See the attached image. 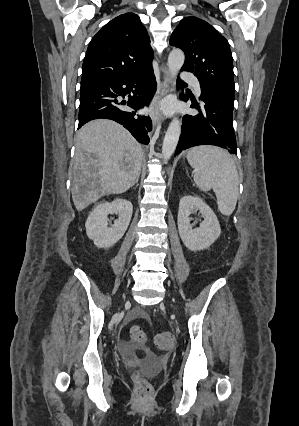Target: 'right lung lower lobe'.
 Wrapping results in <instances>:
<instances>
[{
  "instance_id": "right-lung-lower-lobe-1",
  "label": "right lung lower lobe",
  "mask_w": 299,
  "mask_h": 426,
  "mask_svg": "<svg viewBox=\"0 0 299 426\" xmlns=\"http://www.w3.org/2000/svg\"><path fill=\"white\" fill-rule=\"evenodd\" d=\"M155 87L152 67L110 81L82 83L78 128L93 119H111L128 129L138 142L147 145L152 122L136 111L150 103ZM125 95H129L128 100L121 99Z\"/></svg>"
}]
</instances>
